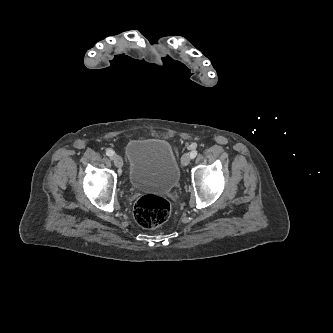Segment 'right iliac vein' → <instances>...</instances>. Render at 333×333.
Instances as JSON below:
<instances>
[{"instance_id": "63e3f726", "label": "right iliac vein", "mask_w": 333, "mask_h": 333, "mask_svg": "<svg viewBox=\"0 0 333 333\" xmlns=\"http://www.w3.org/2000/svg\"><path fill=\"white\" fill-rule=\"evenodd\" d=\"M112 160H113L116 167L120 168V167L123 166V160L119 155H117V154L113 155Z\"/></svg>"}]
</instances>
